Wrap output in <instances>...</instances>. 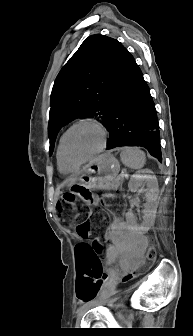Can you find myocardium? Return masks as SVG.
I'll return each mask as SVG.
<instances>
[{
	"label": "myocardium",
	"instance_id": "1",
	"mask_svg": "<svg viewBox=\"0 0 193 336\" xmlns=\"http://www.w3.org/2000/svg\"><path fill=\"white\" fill-rule=\"evenodd\" d=\"M83 124H89V125H92V126L96 127L102 134V143H101V146L91 155H89L87 157H84V158H81V159H74L68 154L67 149H66L67 137L73 129H75L76 127H78L80 125H83ZM107 141H108V132H107L106 128L101 123H99L98 121H96L94 119H90V118L80 119V120L74 122L62 135V138H61V153H62V156H63L64 160L67 163L72 164V165L82 164L84 162H87V161L93 159L94 157L98 156L99 154H101L104 151V149L106 148Z\"/></svg>",
	"mask_w": 193,
	"mask_h": 336
}]
</instances>
